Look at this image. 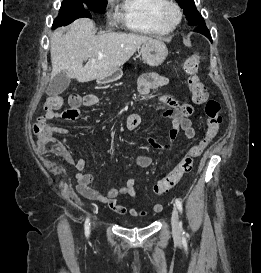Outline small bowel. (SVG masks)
<instances>
[{"mask_svg":"<svg viewBox=\"0 0 261 273\" xmlns=\"http://www.w3.org/2000/svg\"><path fill=\"white\" fill-rule=\"evenodd\" d=\"M169 83L166 77L160 76L155 73L144 74L139 80V92L143 95L149 94L152 90L165 86ZM161 105L159 106L161 110V117L165 119H170L172 121V127L169 131V141L167 143H161L153 136L147 137L148 145L161 152L170 151L173 148L174 141L176 140L178 133L181 131L187 140H192L195 138L196 131L192 126L190 115L193 113V107L187 102H179L175 98L169 95H163L160 98ZM98 103L96 96L88 94L83 98V105L87 107L95 106ZM46 120H56L62 119V112L59 110H51L45 115ZM136 120V122H135ZM140 117L136 114H131L126 118V128L131 130L136 128L140 124ZM48 129L53 133H59L63 135L70 134V131L63 127H58L47 123ZM61 155L63 159L78 171L75 174L77 179V190L84 197L106 203L113 211L119 214H124L127 212L126 207H124L120 201L119 196L130 195L132 197L136 196V181L134 179H128L126 184L120 188H109L105 195L101 194L96 189L92 188L90 184L92 183L94 177L93 175L84 172L86 162L83 158L75 159L71 151L64 145H62ZM135 164L140 168H149L153 164V160L148 156H136ZM155 212H161L162 206L160 204H155L153 207ZM130 214L133 216H142L145 211L138 208H131L129 210Z\"/></svg>","mask_w":261,"mask_h":273,"instance_id":"small-bowel-1","label":"small bowel"}]
</instances>
